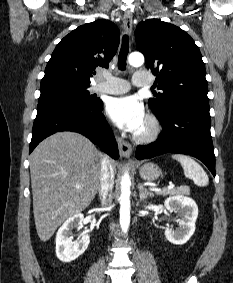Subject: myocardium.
I'll use <instances>...</instances> for the list:
<instances>
[{
  "label": "myocardium",
  "instance_id": "obj_1",
  "mask_svg": "<svg viewBox=\"0 0 233 283\" xmlns=\"http://www.w3.org/2000/svg\"><path fill=\"white\" fill-rule=\"evenodd\" d=\"M145 121L148 125L147 129L144 132H136L134 134V140L138 143L149 144L159 138L162 132V125L159 119L153 114H148Z\"/></svg>",
  "mask_w": 233,
  "mask_h": 283
}]
</instances>
